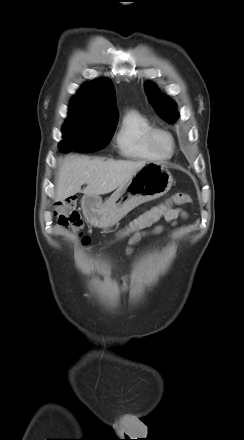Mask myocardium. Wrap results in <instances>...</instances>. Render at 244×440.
I'll return each instance as SVG.
<instances>
[{
  "instance_id": "myocardium-1",
  "label": "myocardium",
  "mask_w": 244,
  "mask_h": 440,
  "mask_svg": "<svg viewBox=\"0 0 244 440\" xmlns=\"http://www.w3.org/2000/svg\"><path fill=\"white\" fill-rule=\"evenodd\" d=\"M157 134H163V135H165V136H167L169 138V140L171 142V149H170V151L162 152L156 146V144H155V136ZM146 143H147L148 147L152 151H154L156 154H158V155H160L162 157L166 156V155H171L174 152L175 146H176L175 139H174L173 135L170 132H168L167 130L162 129V128H158V127H152L151 129H149L147 131V133H146Z\"/></svg>"
}]
</instances>
